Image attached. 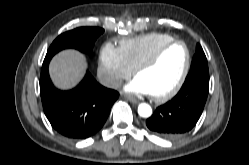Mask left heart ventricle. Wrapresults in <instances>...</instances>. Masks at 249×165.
Segmentation results:
<instances>
[{"label":"left heart ventricle","mask_w":249,"mask_h":165,"mask_svg":"<svg viewBox=\"0 0 249 165\" xmlns=\"http://www.w3.org/2000/svg\"><path fill=\"white\" fill-rule=\"evenodd\" d=\"M185 62L186 50L184 46L176 44L168 48L158 62L136 77L145 84L151 95H160L176 85Z\"/></svg>","instance_id":"left-heart-ventricle-1"}]
</instances>
